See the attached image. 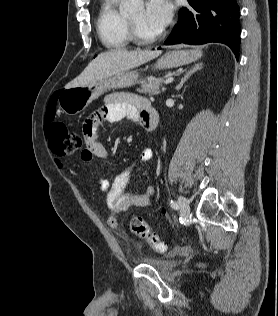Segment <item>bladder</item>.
Segmentation results:
<instances>
[{
  "label": "bladder",
  "instance_id": "obj_1",
  "mask_svg": "<svg viewBox=\"0 0 278 316\" xmlns=\"http://www.w3.org/2000/svg\"><path fill=\"white\" fill-rule=\"evenodd\" d=\"M140 263L150 266L163 274L169 273L174 266V263L172 260H162V259H144V260H141Z\"/></svg>",
  "mask_w": 278,
  "mask_h": 316
}]
</instances>
